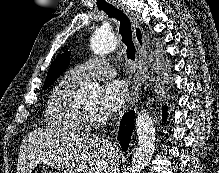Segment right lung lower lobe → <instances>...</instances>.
Returning a JSON list of instances; mask_svg holds the SVG:
<instances>
[{
  "label": "right lung lower lobe",
  "instance_id": "right-lung-lower-lobe-1",
  "mask_svg": "<svg viewBox=\"0 0 219 173\" xmlns=\"http://www.w3.org/2000/svg\"><path fill=\"white\" fill-rule=\"evenodd\" d=\"M162 110L163 121H165V119L167 118V114L165 113L167 108H163ZM134 118L135 112L132 111L125 114L121 120V125L119 129V141L124 151H126L132 135Z\"/></svg>",
  "mask_w": 219,
  "mask_h": 173
}]
</instances>
